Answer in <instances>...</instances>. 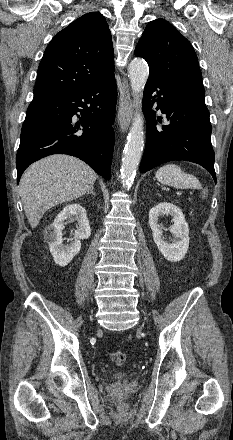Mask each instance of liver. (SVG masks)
<instances>
[{
    "instance_id": "liver-1",
    "label": "liver",
    "mask_w": 233,
    "mask_h": 440,
    "mask_svg": "<svg viewBox=\"0 0 233 440\" xmlns=\"http://www.w3.org/2000/svg\"><path fill=\"white\" fill-rule=\"evenodd\" d=\"M97 174L83 161L68 155H51L33 163L22 175L19 190L32 228L44 213L75 200L93 187Z\"/></svg>"
}]
</instances>
